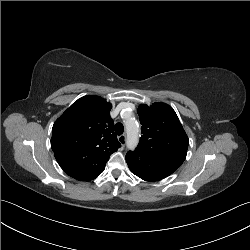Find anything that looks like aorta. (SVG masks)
Masks as SVG:
<instances>
[{
    "label": "aorta",
    "instance_id": "obj_1",
    "mask_svg": "<svg viewBox=\"0 0 250 250\" xmlns=\"http://www.w3.org/2000/svg\"><path fill=\"white\" fill-rule=\"evenodd\" d=\"M127 147L134 150L139 142V130L137 122L134 120L126 121Z\"/></svg>",
    "mask_w": 250,
    "mask_h": 250
}]
</instances>
